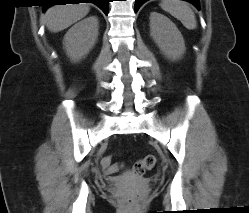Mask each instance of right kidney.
<instances>
[{"label": "right kidney", "mask_w": 249, "mask_h": 213, "mask_svg": "<svg viewBox=\"0 0 249 213\" xmlns=\"http://www.w3.org/2000/svg\"><path fill=\"white\" fill-rule=\"evenodd\" d=\"M98 18L90 16L72 26L64 36V48L68 57L76 62L93 48L98 37Z\"/></svg>", "instance_id": "right-kidney-1"}]
</instances>
